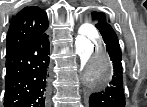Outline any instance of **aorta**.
Returning a JSON list of instances; mask_svg holds the SVG:
<instances>
[{
  "instance_id": "1",
  "label": "aorta",
  "mask_w": 147,
  "mask_h": 107,
  "mask_svg": "<svg viewBox=\"0 0 147 107\" xmlns=\"http://www.w3.org/2000/svg\"><path fill=\"white\" fill-rule=\"evenodd\" d=\"M77 53L81 59L82 74L89 88L102 87L111 80L112 63L97 31L90 25H83L75 38Z\"/></svg>"
}]
</instances>
